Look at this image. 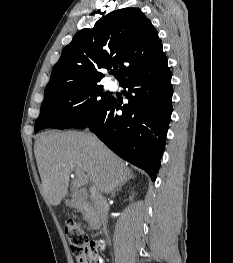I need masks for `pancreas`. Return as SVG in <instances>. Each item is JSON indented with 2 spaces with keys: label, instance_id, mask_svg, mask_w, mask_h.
Wrapping results in <instances>:
<instances>
[{
  "label": "pancreas",
  "instance_id": "cf45deb5",
  "mask_svg": "<svg viewBox=\"0 0 233 263\" xmlns=\"http://www.w3.org/2000/svg\"><path fill=\"white\" fill-rule=\"evenodd\" d=\"M88 222H89V223H92V222H93V220H92V219H88Z\"/></svg>",
  "mask_w": 233,
  "mask_h": 263
}]
</instances>
